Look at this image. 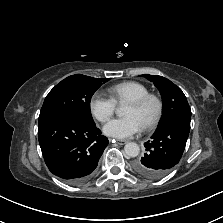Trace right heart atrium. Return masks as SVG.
Segmentation results:
<instances>
[{
    "mask_svg": "<svg viewBox=\"0 0 223 223\" xmlns=\"http://www.w3.org/2000/svg\"><path fill=\"white\" fill-rule=\"evenodd\" d=\"M90 111L100 122L108 121L116 110L115 101L101 92H96L90 99Z\"/></svg>",
    "mask_w": 223,
    "mask_h": 223,
    "instance_id": "d8ad5b80",
    "label": "right heart atrium"
}]
</instances>
